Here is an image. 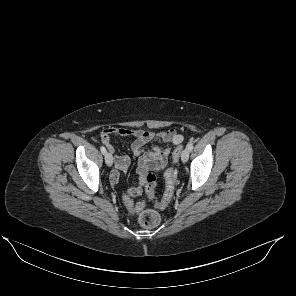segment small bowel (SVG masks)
<instances>
[{
    "label": "small bowel",
    "instance_id": "1",
    "mask_svg": "<svg viewBox=\"0 0 296 296\" xmlns=\"http://www.w3.org/2000/svg\"><path fill=\"white\" fill-rule=\"evenodd\" d=\"M116 136L131 137L134 139L131 145V151L138 157L137 172L140 179H142L148 171H161L168 162L172 147L179 145L183 141V136L173 128L153 132L143 129L108 127L101 131L100 141L111 154L115 152L112 139ZM154 142L170 143L171 145L166 147H145L146 144ZM114 159L115 169L110 175V181L111 184L115 186L119 183L121 173L129 168L130 158L124 155H115ZM141 192V186L131 187L126 190L125 199L138 196Z\"/></svg>",
    "mask_w": 296,
    "mask_h": 296
}]
</instances>
